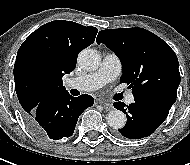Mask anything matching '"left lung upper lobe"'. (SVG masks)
Masks as SVG:
<instances>
[{
    "label": "left lung upper lobe",
    "mask_w": 190,
    "mask_h": 165,
    "mask_svg": "<svg viewBox=\"0 0 190 165\" xmlns=\"http://www.w3.org/2000/svg\"><path fill=\"white\" fill-rule=\"evenodd\" d=\"M97 43L105 44L122 62L120 83L134 98H157L175 103L180 84L175 52L161 38L143 28L106 29Z\"/></svg>",
    "instance_id": "obj_1"
}]
</instances>
